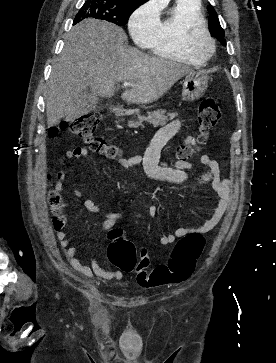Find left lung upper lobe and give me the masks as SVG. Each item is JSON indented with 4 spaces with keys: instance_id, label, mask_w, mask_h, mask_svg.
Segmentation results:
<instances>
[{
    "instance_id": "left-lung-upper-lobe-1",
    "label": "left lung upper lobe",
    "mask_w": 276,
    "mask_h": 363,
    "mask_svg": "<svg viewBox=\"0 0 276 363\" xmlns=\"http://www.w3.org/2000/svg\"><path fill=\"white\" fill-rule=\"evenodd\" d=\"M207 9L211 14V17L209 18V31L212 36L216 37L222 45H225L226 41L224 39V30L220 26L217 14L211 5H209Z\"/></svg>"
}]
</instances>
